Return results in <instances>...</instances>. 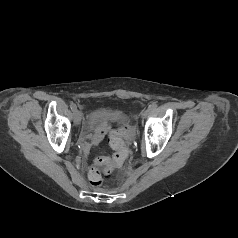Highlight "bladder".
I'll list each match as a JSON object with an SVG mask.
<instances>
[{
    "mask_svg": "<svg viewBox=\"0 0 238 238\" xmlns=\"http://www.w3.org/2000/svg\"><path fill=\"white\" fill-rule=\"evenodd\" d=\"M90 119L105 118L109 123H119L125 120V115L121 111H112L108 109H100L90 114ZM127 138H131L129 135Z\"/></svg>",
    "mask_w": 238,
    "mask_h": 238,
    "instance_id": "31cf9c89",
    "label": "bladder"
}]
</instances>
